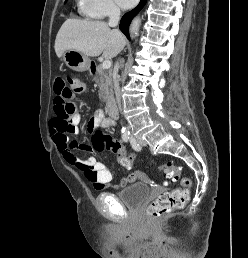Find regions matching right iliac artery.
Masks as SVG:
<instances>
[{"label": "right iliac artery", "instance_id": "82829eb1", "mask_svg": "<svg viewBox=\"0 0 248 258\" xmlns=\"http://www.w3.org/2000/svg\"><path fill=\"white\" fill-rule=\"evenodd\" d=\"M122 139H123L124 142H127V141L130 139L129 134H128V133H124V134L122 135Z\"/></svg>", "mask_w": 248, "mask_h": 258}]
</instances>
